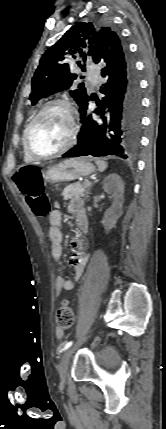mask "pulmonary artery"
<instances>
[{"mask_svg": "<svg viewBox=\"0 0 166 429\" xmlns=\"http://www.w3.org/2000/svg\"><path fill=\"white\" fill-rule=\"evenodd\" d=\"M88 79H90L93 86L97 85L99 74L98 72L94 71L93 69H89L87 73Z\"/></svg>", "mask_w": 166, "mask_h": 429, "instance_id": "pulmonary-artery-1", "label": "pulmonary artery"}]
</instances>
